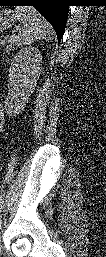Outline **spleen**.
<instances>
[{"mask_svg": "<svg viewBox=\"0 0 106 257\" xmlns=\"http://www.w3.org/2000/svg\"><path fill=\"white\" fill-rule=\"evenodd\" d=\"M15 14L23 24L19 34L22 44L31 45L37 39H52L51 26L34 7H17Z\"/></svg>", "mask_w": 106, "mask_h": 257, "instance_id": "spleen-1", "label": "spleen"}]
</instances>
